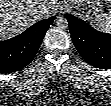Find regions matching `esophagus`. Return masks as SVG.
<instances>
[{
	"mask_svg": "<svg viewBox=\"0 0 111 106\" xmlns=\"http://www.w3.org/2000/svg\"><path fill=\"white\" fill-rule=\"evenodd\" d=\"M64 9H66V8H65V7H62V8H61V10H64Z\"/></svg>",
	"mask_w": 111,
	"mask_h": 106,
	"instance_id": "esophagus-1",
	"label": "esophagus"
}]
</instances>
